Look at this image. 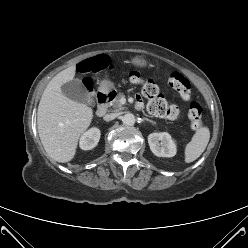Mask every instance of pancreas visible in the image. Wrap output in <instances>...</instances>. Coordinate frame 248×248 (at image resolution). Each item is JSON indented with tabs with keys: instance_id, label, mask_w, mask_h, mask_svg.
I'll return each mask as SVG.
<instances>
[{
	"instance_id": "1",
	"label": "pancreas",
	"mask_w": 248,
	"mask_h": 248,
	"mask_svg": "<svg viewBox=\"0 0 248 248\" xmlns=\"http://www.w3.org/2000/svg\"><path fill=\"white\" fill-rule=\"evenodd\" d=\"M124 96L123 93H119L110 103V105L112 106L113 110L115 112H119L121 110L124 109V107L122 106V104L120 103V99Z\"/></svg>"
}]
</instances>
